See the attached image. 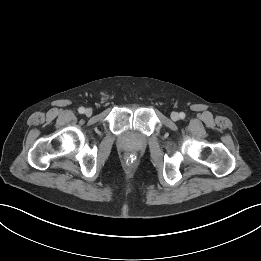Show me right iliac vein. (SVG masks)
<instances>
[{
	"instance_id": "obj_1",
	"label": "right iliac vein",
	"mask_w": 261,
	"mask_h": 261,
	"mask_svg": "<svg viewBox=\"0 0 261 261\" xmlns=\"http://www.w3.org/2000/svg\"><path fill=\"white\" fill-rule=\"evenodd\" d=\"M85 114L87 115V116H90L91 114H92V110L91 109H86L85 110Z\"/></svg>"
}]
</instances>
